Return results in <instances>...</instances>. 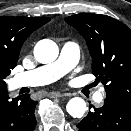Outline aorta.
Masks as SVG:
<instances>
[{"label": "aorta", "instance_id": "762f6f07", "mask_svg": "<svg viewBox=\"0 0 131 131\" xmlns=\"http://www.w3.org/2000/svg\"><path fill=\"white\" fill-rule=\"evenodd\" d=\"M58 46L52 40L39 41L34 48V56L40 63L53 62L58 57ZM66 110L73 118H81L87 110L86 102L80 97L69 100Z\"/></svg>", "mask_w": 131, "mask_h": 131}]
</instances>
